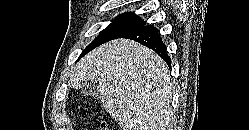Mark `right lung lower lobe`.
I'll use <instances>...</instances> for the list:
<instances>
[{"label":"right lung lower lobe","instance_id":"obj_1","mask_svg":"<svg viewBox=\"0 0 249 130\" xmlns=\"http://www.w3.org/2000/svg\"><path fill=\"white\" fill-rule=\"evenodd\" d=\"M118 38L137 41L155 51L168 65L171 64L170 57L166 52V47L160 37L159 31L153 25L142 26Z\"/></svg>","mask_w":249,"mask_h":130}]
</instances>
